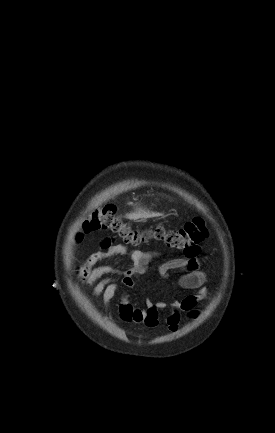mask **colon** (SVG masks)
<instances>
[{
    "mask_svg": "<svg viewBox=\"0 0 275 433\" xmlns=\"http://www.w3.org/2000/svg\"><path fill=\"white\" fill-rule=\"evenodd\" d=\"M96 231L114 233L129 245H140L150 240L160 241L172 249L182 251L186 257L194 256L197 246L207 236V229L201 218H194L179 228L160 224L149 230H139L120 217L114 205L96 207L85 219L82 234Z\"/></svg>",
    "mask_w": 275,
    "mask_h": 433,
    "instance_id": "5ec220e1",
    "label": "colon"
}]
</instances>
